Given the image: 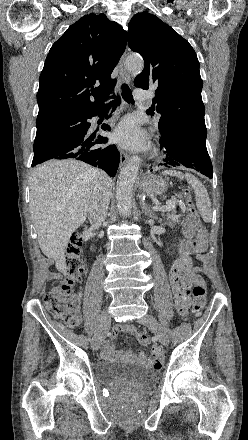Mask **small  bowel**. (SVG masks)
Returning a JSON list of instances; mask_svg holds the SVG:
<instances>
[{
  "instance_id": "small-bowel-1",
  "label": "small bowel",
  "mask_w": 248,
  "mask_h": 440,
  "mask_svg": "<svg viewBox=\"0 0 248 440\" xmlns=\"http://www.w3.org/2000/svg\"><path fill=\"white\" fill-rule=\"evenodd\" d=\"M182 233L184 239L176 244L174 247L178 251V257L174 261L170 272L169 281L170 286L175 297L176 309L181 316H186L188 314V309L190 306V288L192 284V275L200 271L198 267H192V260L190 258L191 249L189 242L191 238L199 233L197 227L189 220L185 222L182 228ZM205 234V231H204ZM199 260H202V256H198ZM127 332L134 334L136 333V328L134 326L118 325L115 327L112 339L108 341L103 350V356L107 359L119 358L121 355L117 353L113 346V339L120 333ZM155 356L153 358H148L144 353H139L136 358L137 360L149 363L153 367L158 368L160 365V358L157 355V349H153Z\"/></svg>"
}]
</instances>
